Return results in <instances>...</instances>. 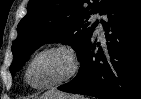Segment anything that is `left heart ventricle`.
<instances>
[{
  "label": "left heart ventricle",
  "mask_w": 141,
  "mask_h": 99,
  "mask_svg": "<svg viewBox=\"0 0 141 99\" xmlns=\"http://www.w3.org/2000/svg\"><path fill=\"white\" fill-rule=\"evenodd\" d=\"M71 70L69 56L62 51H51L41 55L30 70L34 85H45L66 76Z\"/></svg>",
  "instance_id": "left-heart-ventricle-1"
}]
</instances>
